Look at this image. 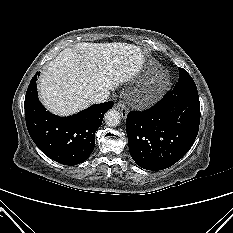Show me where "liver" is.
I'll list each match as a JSON object with an SVG mask.
<instances>
[{"label": "liver", "mask_w": 233, "mask_h": 233, "mask_svg": "<svg viewBox=\"0 0 233 233\" xmlns=\"http://www.w3.org/2000/svg\"><path fill=\"white\" fill-rule=\"evenodd\" d=\"M145 61L142 49L127 43H77L64 49L40 78L41 102L52 113L72 115L94 94L113 90L135 76Z\"/></svg>", "instance_id": "6515ba94"}]
</instances>
